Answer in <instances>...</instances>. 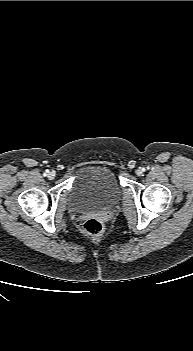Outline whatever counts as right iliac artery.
Instances as JSON below:
<instances>
[{"instance_id": "1", "label": "right iliac artery", "mask_w": 193, "mask_h": 351, "mask_svg": "<svg viewBox=\"0 0 193 351\" xmlns=\"http://www.w3.org/2000/svg\"><path fill=\"white\" fill-rule=\"evenodd\" d=\"M48 172H49V171H48V170H46V171H45V173H44L43 175H44V176H46Z\"/></svg>"}]
</instances>
